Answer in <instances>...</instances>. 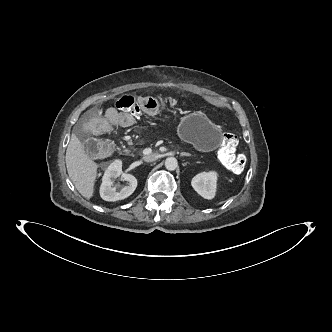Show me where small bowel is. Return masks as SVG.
<instances>
[{"label": "small bowel", "mask_w": 332, "mask_h": 332, "mask_svg": "<svg viewBox=\"0 0 332 332\" xmlns=\"http://www.w3.org/2000/svg\"><path fill=\"white\" fill-rule=\"evenodd\" d=\"M138 105L141 109L152 114H157L161 110L160 103L147 95H142L139 97ZM105 118L107 121L106 129H112L115 125L129 127L133 124L134 121V119L129 117L127 113L119 112L115 109H109L105 114Z\"/></svg>", "instance_id": "1"}]
</instances>
